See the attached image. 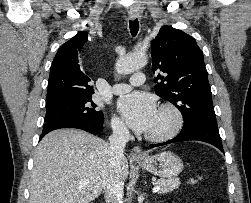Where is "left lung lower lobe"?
Here are the masks:
<instances>
[{
    "label": "left lung lower lobe",
    "mask_w": 251,
    "mask_h": 203,
    "mask_svg": "<svg viewBox=\"0 0 251 203\" xmlns=\"http://www.w3.org/2000/svg\"><path fill=\"white\" fill-rule=\"evenodd\" d=\"M189 140H198L212 144L220 151L224 152L218 128L206 124H197L190 128L182 129V131L173 139L160 144H152L150 147L163 146L170 143Z\"/></svg>",
    "instance_id": "obj_1"
}]
</instances>
